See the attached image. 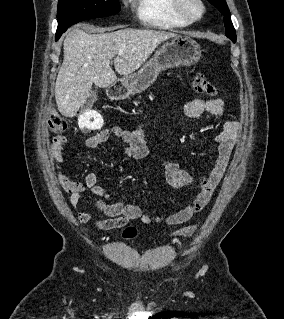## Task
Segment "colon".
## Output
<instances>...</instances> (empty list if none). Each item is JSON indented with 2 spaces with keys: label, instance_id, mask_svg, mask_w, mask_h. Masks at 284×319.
<instances>
[{
  "label": "colon",
  "instance_id": "1",
  "mask_svg": "<svg viewBox=\"0 0 284 319\" xmlns=\"http://www.w3.org/2000/svg\"><path fill=\"white\" fill-rule=\"evenodd\" d=\"M192 85L194 90L201 95L214 97L217 94L216 87L202 73H198L194 77ZM48 125L52 132L61 133L67 129L68 121L58 113L54 112L49 116ZM196 229V225L187 226L176 231L173 234V237H189L196 231ZM136 234L137 231L134 227H128L123 232V236L127 239L134 238Z\"/></svg>",
  "mask_w": 284,
  "mask_h": 319
}]
</instances>
